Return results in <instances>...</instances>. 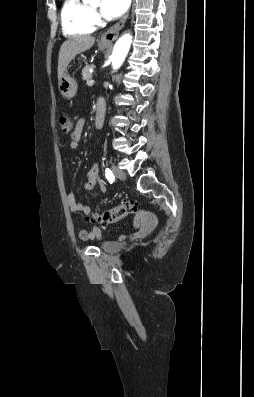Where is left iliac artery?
<instances>
[{
    "label": "left iliac artery",
    "mask_w": 254,
    "mask_h": 397,
    "mask_svg": "<svg viewBox=\"0 0 254 397\" xmlns=\"http://www.w3.org/2000/svg\"><path fill=\"white\" fill-rule=\"evenodd\" d=\"M105 176L110 183H113V181L115 180V177L109 168L105 169Z\"/></svg>",
    "instance_id": "1"
}]
</instances>
